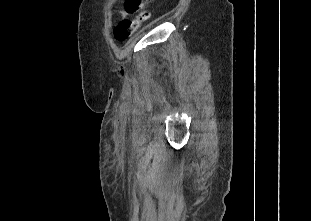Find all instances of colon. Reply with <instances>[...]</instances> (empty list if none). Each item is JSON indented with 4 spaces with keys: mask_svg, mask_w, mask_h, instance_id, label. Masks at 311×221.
<instances>
[{
    "mask_svg": "<svg viewBox=\"0 0 311 221\" xmlns=\"http://www.w3.org/2000/svg\"><path fill=\"white\" fill-rule=\"evenodd\" d=\"M147 0H125V8L128 9V14H135V18L132 21H120L113 29L114 37L123 41L127 39L140 25L148 22L151 17L150 12L144 9V4ZM115 17H121L120 13L114 11Z\"/></svg>",
    "mask_w": 311,
    "mask_h": 221,
    "instance_id": "5ec220e1",
    "label": "colon"
}]
</instances>
